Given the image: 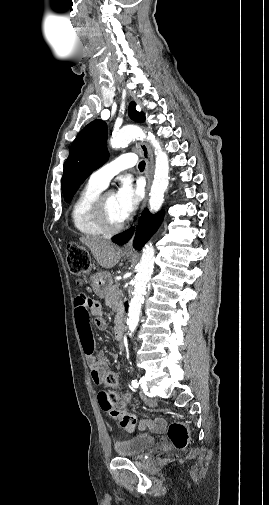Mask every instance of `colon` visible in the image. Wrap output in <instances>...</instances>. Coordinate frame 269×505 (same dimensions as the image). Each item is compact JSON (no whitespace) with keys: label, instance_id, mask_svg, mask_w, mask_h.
Segmentation results:
<instances>
[{"label":"colon","instance_id":"obj_1","mask_svg":"<svg viewBox=\"0 0 269 505\" xmlns=\"http://www.w3.org/2000/svg\"><path fill=\"white\" fill-rule=\"evenodd\" d=\"M67 266L69 271L76 276H82L89 272L91 260L87 250L78 244H71L67 248ZM80 297V295L78 296ZM88 298V297H83ZM101 384L104 389L100 391L98 399L101 408L109 415L118 419L120 426L127 432H132L137 423V417L125 410L127 399L119 401L114 389L119 384L118 376L115 372L108 371L103 375ZM168 437L172 445L177 449H184L189 442V430L184 422H171L167 429Z\"/></svg>","mask_w":269,"mask_h":505}]
</instances>
